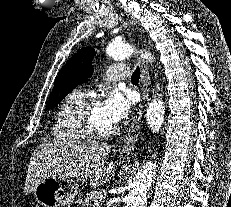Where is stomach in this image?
I'll list each match as a JSON object with an SVG mask.
<instances>
[{
  "label": "stomach",
  "mask_w": 231,
  "mask_h": 207,
  "mask_svg": "<svg viewBox=\"0 0 231 207\" xmlns=\"http://www.w3.org/2000/svg\"><path fill=\"white\" fill-rule=\"evenodd\" d=\"M79 185L67 176L53 175L43 178L33 190V195L43 207L68 206L76 200Z\"/></svg>",
  "instance_id": "0dacf381"
}]
</instances>
